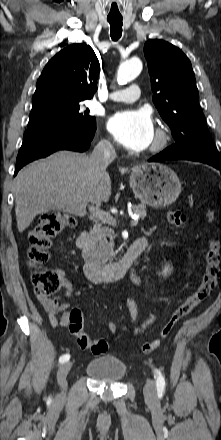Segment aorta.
Masks as SVG:
<instances>
[{"label":"aorta","instance_id":"obj_1","mask_svg":"<svg viewBox=\"0 0 221 440\" xmlns=\"http://www.w3.org/2000/svg\"><path fill=\"white\" fill-rule=\"evenodd\" d=\"M142 70V62L133 58L122 63L118 69L117 81L119 84H126L134 80Z\"/></svg>","mask_w":221,"mask_h":440}]
</instances>
